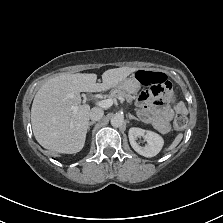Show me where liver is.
Returning a JSON list of instances; mask_svg holds the SVG:
<instances>
[{"instance_id": "liver-1", "label": "liver", "mask_w": 223, "mask_h": 223, "mask_svg": "<svg viewBox=\"0 0 223 223\" xmlns=\"http://www.w3.org/2000/svg\"><path fill=\"white\" fill-rule=\"evenodd\" d=\"M138 68L109 69L96 83V74H61L48 80L36 93L31 108L34 136L45 149L58 153L79 152L85 144L90 107L81 105L80 92H101L114 88ZM72 106L78 107L72 113Z\"/></svg>"}]
</instances>
